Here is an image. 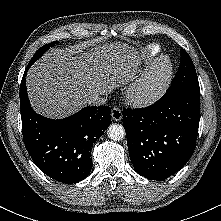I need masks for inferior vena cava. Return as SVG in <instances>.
Masks as SVG:
<instances>
[{
	"label": "inferior vena cava",
	"instance_id": "inferior-vena-cava-1",
	"mask_svg": "<svg viewBox=\"0 0 221 221\" xmlns=\"http://www.w3.org/2000/svg\"><path fill=\"white\" fill-rule=\"evenodd\" d=\"M107 98H101L100 95H91L86 98V103L93 106H100L105 104Z\"/></svg>",
	"mask_w": 221,
	"mask_h": 221
}]
</instances>
